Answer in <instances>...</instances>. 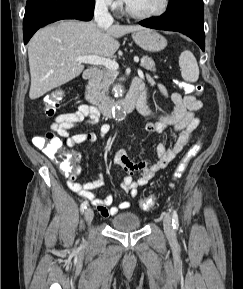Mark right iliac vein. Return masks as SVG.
<instances>
[{
    "mask_svg": "<svg viewBox=\"0 0 243 289\" xmlns=\"http://www.w3.org/2000/svg\"><path fill=\"white\" fill-rule=\"evenodd\" d=\"M93 217H94L93 210L91 208H87L85 211V220H86L88 225L91 224Z\"/></svg>",
    "mask_w": 243,
    "mask_h": 289,
    "instance_id": "1",
    "label": "right iliac vein"
}]
</instances>
